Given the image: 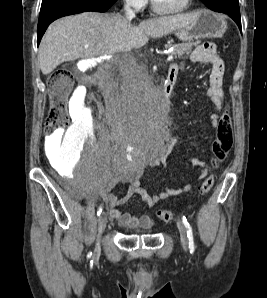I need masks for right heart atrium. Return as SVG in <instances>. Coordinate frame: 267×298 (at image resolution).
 I'll return each instance as SVG.
<instances>
[{"label": "right heart atrium", "mask_w": 267, "mask_h": 298, "mask_svg": "<svg viewBox=\"0 0 267 298\" xmlns=\"http://www.w3.org/2000/svg\"><path fill=\"white\" fill-rule=\"evenodd\" d=\"M124 2L135 11L143 10L148 4V0H124Z\"/></svg>", "instance_id": "1"}]
</instances>
